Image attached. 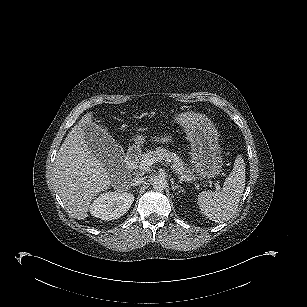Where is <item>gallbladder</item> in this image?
Segmentation results:
<instances>
[{"mask_svg":"<svg viewBox=\"0 0 307 307\" xmlns=\"http://www.w3.org/2000/svg\"><path fill=\"white\" fill-rule=\"evenodd\" d=\"M86 143L92 152L107 168H111L113 161L123 156L122 147L104 131L95 128L87 130Z\"/></svg>","mask_w":307,"mask_h":307,"instance_id":"bac80fb5","label":"gallbladder"}]
</instances>
